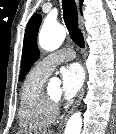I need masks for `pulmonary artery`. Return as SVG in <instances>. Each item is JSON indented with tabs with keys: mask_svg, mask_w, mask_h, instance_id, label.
Instances as JSON below:
<instances>
[{
	"mask_svg": "<svg viewBox=\"0 0 116 134\" xmlns=\"http://www.w3.org/2000/svg\"><path fill=\"white\" fill-rule=\"evenodd\" d=\"M74 58L75 52L70 48H64L46 56L40 60L35 67L41 73L49 75L57 64L73 60Z\"/></svg>",
	"mask_w": 116,
	"mask_h": 134,
	"instance_id": "1",
	"label": "pulmonary artery"
}]
</instances>
